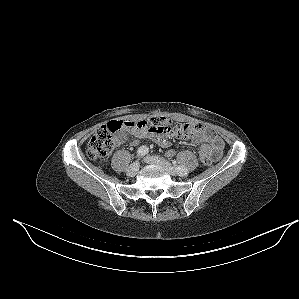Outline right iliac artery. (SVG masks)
<instances>
[{
  "label": "right iliac artery",
  "mask_w": 299,
  "mask_h": 299,
  "mask_svg": "<svg viewBox=\"0 0 299 299\" xmlns=\"http://www.w3.org/2000/svg\"><path fill=\"white\" fill-rule=\"evenodd\" d=\"M149 152V149L147 146H141L137 150V155L138 156H144Z\"/></svg>",
  "instance_id": "1"
}]
</instances>
